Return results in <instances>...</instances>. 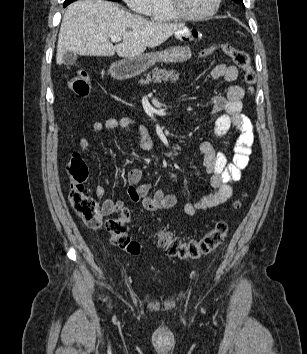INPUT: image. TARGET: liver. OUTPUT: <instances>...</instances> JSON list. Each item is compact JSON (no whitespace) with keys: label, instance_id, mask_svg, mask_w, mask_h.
Here are the masks:
<instances>
[{"label":"liver","instance_id":"liver-1","mask_svg":"<svg viewBox=\"0 0 307 354\" xmlns=\"http://www.w3.org/2000/svg\"><path fill=\"white\" fill-rule=\"evenodd\" d=\"M184 24L155 23L123 10L106 0H78L63 16L58 36L56 63L62 64L66 52L81 56L132 58L146 48H154L182 29ZM112 36L123 42L113 45Z\"/></svg>","mask_w":307,"mask_h":354}]
</instances>
